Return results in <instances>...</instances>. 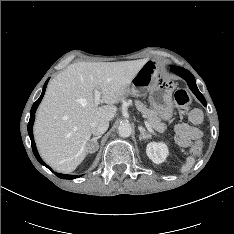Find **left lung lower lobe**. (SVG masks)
<instances>
[{"label":"left lung lower lobe","instance_id":"obj_1","mask_svg":"<svg viewBox=\"0 0 234 234\" xmlns=\"http://www.w3.org/2000/svg\"><path fill=\"white\" fill-rule=\"evenodd\" d=\"M171 71L174 72L175 74L181 76L182 78H184L187 81V83H188L190 89L192 90V92L202 102V104L206 106L205 98L199 92V90H198V88L196 86L194 76L188 70H186V69H184L182 67L172 66Z\"/></svg>","mask_w":234,"mask_h":234}]
</instances>
